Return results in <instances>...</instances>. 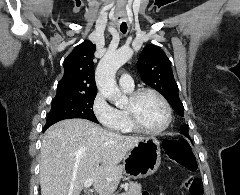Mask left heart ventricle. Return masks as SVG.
<instances>
[{"instance_id":"obj_1","label":"left heart ventricle","mask_w":240,"mask_h":195,"mask_svg":"<svg viewBox=\"0 0 240 195\" xmlns=\"http://www.w3.org/2000/svg\"><path fill=\"white\" fill-rule=\"evenodd\" d=\"M138 115L141 123L150 129L158 128L164 121V109L157 97L145 94L138 104Z\"/></svg>"}]
</instances>
